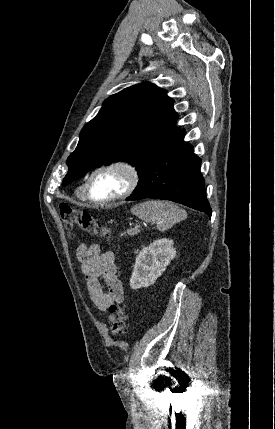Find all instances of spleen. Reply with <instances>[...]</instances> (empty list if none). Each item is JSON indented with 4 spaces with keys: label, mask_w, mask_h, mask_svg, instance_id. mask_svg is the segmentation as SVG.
Listing matches in <instances>:
<instances>
[{
    "label": "spleen",
    "mask_w": 275,
    "mask_h": 429,
    "mask_svg": "<svg viewBox=\"0 0 275 429\" xmlns=\"http://www.w3.org/2000/svg\"><path fill=\"white\" fill-rule=\"evenodd\" d=\"M131 213L146 222L156 223L159 231L164 232L174 224L187 218L184 209L167 201L150 200L131 208Z\"/></svg>",
    "instance_id": "3e777b00"
}]
</instances>
